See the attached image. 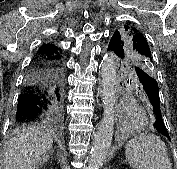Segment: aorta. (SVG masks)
<instances>
[{
  "label": "aorta",
  "mask_w": 177,
  "mask_h": 169,
  "mask_svg": "<svg viewBox=\"0 0 177 169\" xmlns=\"http://www.w3.org/2000/svg\"><path fill=\"white\" fill-rule=\"evenodd\" d=\"M116 56L106 54L100 64L101 89L104 106L103 119L94 133L92 149L86 169H100L108 153L114 132L116 109Z\"/></svg>",
  "instance_id": "aorta-1"
}]
</instances>
